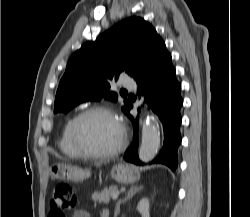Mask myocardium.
Segmentation results:
<instances>
[{
    "label": "myocardium",
    "mask_w": 250,
    "mask_h": 217,
    "mask_svg": "<svg viewBox=\"0 0 250 217\" xmlns=\"http://www.w3.org/2000/svg\"><path fill=\"white\" fill-rule=\"evenodd\" d=\"M93 113H104L110 117H112L119 125L120 128V139L117 145L112 148L111 150L104 151V152H96L87 149L83 146L80 142L78 137V126L80 121L87 115ZM70 139L73 146L77 149V151L82 155V157L93 158V159H104L110 158L118 155L126 146L127 143V134L126 128L122 123L119 116L115 113V111L106 105H92L83 110H81L71 121L70 124Z\"/></svg>",
    "instance_id": "f54148a6"
}]
</instances>
